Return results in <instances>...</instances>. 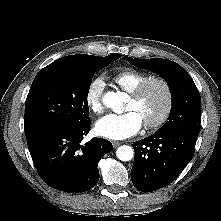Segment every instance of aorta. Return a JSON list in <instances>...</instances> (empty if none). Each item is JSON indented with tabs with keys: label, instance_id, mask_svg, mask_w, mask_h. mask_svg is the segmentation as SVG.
<instances>
[{
	"label": "aorta",
	"instance_id": "1",
	"mask_svg": "<svg viewBox=\"0 0 221 221\" xmlns=\"http://www.w3.org/2000/svg\"><path fill=\"white\" fill-rule=\"evenodd\" d=\"M125 94L122 92H107L103 98V103L106 107L112 109L116 113H121L123 110V102ZM116 156L121 161H130L134 156V150L128 145H122L117 148Z\"/></svg>",
	"mask_w": 221,
	"mask_h": 221
}]
</instances>
